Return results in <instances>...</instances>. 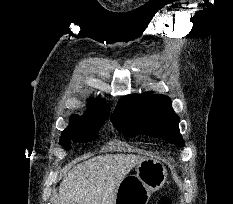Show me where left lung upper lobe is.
Masks as SVG:
<instances>
[{
  "mask_svg": "<svg viewBox=\"0 0 233 204\" xmlns=\"http://www.w3.org/2000/svg\"><path fill=\"white\" fill-rule=\"evenodd\" d=\"M111 121L128 137L146 134L178 146L184 144L178 128L179 118L167 96L153 95L152 92L124 96L119 100Z\"/></svg>",
  "mask_w": 233,
  "mask_h": 204,
  "instance_id": "obj_1",
  "label": "left lung upper lobe"
}]
</instances>
